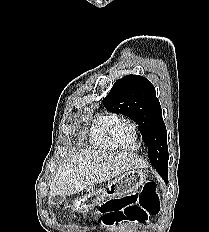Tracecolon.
Wrapping results in <instances>:
<instances>
[{"label": "colon", "instance_id": "1", "mask_svg": "<svg viewBox=\"0 0 209 232\" xmlns=\"http://www.w3.org/2000/svg\"><path fill=\"white\" fill-rule=\"evenodd\" d=\"M100 206L102 220L107 226H127V221L145 222L160 211V200L154 182L143 183L139 193L128 194L121 199L105 201Z\"/></svg>", "mask_w": 209, "mask_h": 232}]
</instances>
